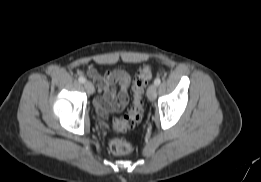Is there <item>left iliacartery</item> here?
Returning a JSON list of instances; mask_svg holds the SVG:
<instances>
[{
	"mask_svg": "<svg viewBox=\"0 0 261 182\" xmlns=\"http://www.w3.org/2000/svg\"><path fill=\"white\" fill-rule=\"evenodd\" d=\"M160 83H161V79H160V78H156V79L154 80V84H155L156 86H158Z\"/></svg>",
	"mask_w": 261,
	"mask_h": 182,
	"instance_id": "obj_1",
	"label": "left iliac artery"
}]
</instances>
